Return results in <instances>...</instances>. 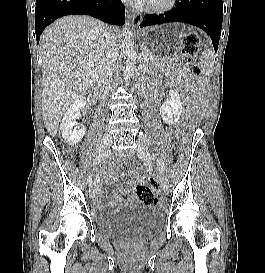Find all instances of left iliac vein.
<instances>
[{"mask_svg": "<svg viewBox=\"0 0 265 273\" xmlns=\"http://www.w3.org/2000/svg\"><path fill=\"white\" fill-rule=\"evenodd\" d=\"M138 144V156L139 158L145 162L148 165L152 164V158L151 155L149 153V150L147 148V146L145 145V142L142 141L140 138L137 141ZM159 180H160V185H161V189L162 192L167 195L169 192V182L168 179L166 178V176L162 173L159 174Z\"/></svg>", "mask_w": 265, "mask_h": 273, "instance_id": "4c4485c4", "label": "left iliac vein"}]
</instances>
